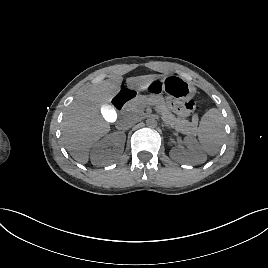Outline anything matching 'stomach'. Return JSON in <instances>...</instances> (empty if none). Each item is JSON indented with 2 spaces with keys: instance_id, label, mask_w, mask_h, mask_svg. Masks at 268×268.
Listing matches in <instances>:
<instances>
[{
  "instance_id": "1",
  "label": "stomach",
  "mask_w": 268,
  "mask_h": 268,
  "mask_svg": "<svg viewBox=\"0 0 268 268\" xmlns=\"http://www.w3.org/2000/svg\"><path fill=\"white\" fill-rule=\"evenodd\" d=\"M138 92L147 91L151 93H160L166 90L173 98L178 100L191 99L195 94V87L185 78L177 75L158 77L149 83L135 87Z\"/></svg>"
}]
</instances>
